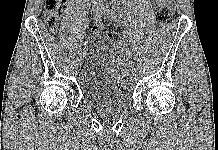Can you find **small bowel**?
Segmentation results:
<instances>
[{"mask_svg":"<svg viewBox=\"0 0 218 150\" xmlns=\"http://www.w3.org/2000/svg\"><path fill=\"white\" fill-rule=\"evenodd\" d=\"M155 1L158 5L163 6V7H167L170 10H173V8H174L173 0H155ZM97 25L98 24H95V26H97Z\"/></svg>","mask_w":218,"mask_h":150,"instance_id":"obj_1","label":"small bowel"}]
</instances>
